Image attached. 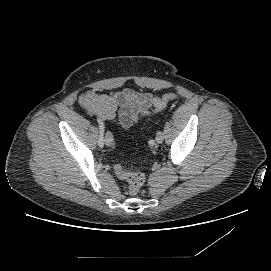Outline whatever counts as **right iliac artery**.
<instances>
[{
  "instance_id": "obj_1",
  "label": "right iliac artery",
  "mask_w": 271,
  "mask_h": 271,
  "mask_svg": "<svg viewBox=\"0 0 271 271\" xmlns=\"http://www.w3.org/2000/svg\"><path fill=\"white\" fill-rule=\"evenodd\" d=\"M97 122L99 124V140H98V145L100 147H103V145H104V131H105L104 128L105 127H104L103 121L100 118L97 119Z\"/></svg>"
}]
</instances>
